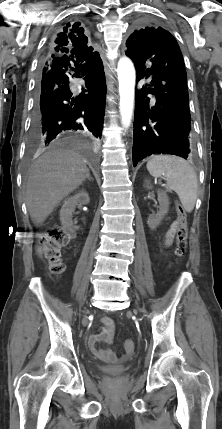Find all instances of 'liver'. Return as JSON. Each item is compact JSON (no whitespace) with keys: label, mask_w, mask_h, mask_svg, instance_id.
<instances>
[{"label":"liver","mask_w":222,"mask_h":429,"mask_svg":"<svg viewBox=\"0 0 222 429\" xmlns=\"http://www.w3.org/2000/svg\"><path fill=\"white\" fill-rule=\"evenodd\" d=\"M86 160L73 150H51L30 167L25 184L26 205L34 224H42L61 200L85 180Z\"/></svg>","instance_id":"1"}]
</instances>
